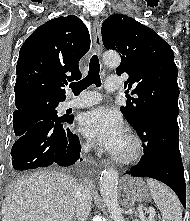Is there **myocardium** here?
Listing matches in <instances>:
<instances>
[{
	"label": "myocardium",
	"mask_w": 190,
	"mask_h": 221,
	"mask_svg": "<svg viewBox=\"0 0 190 221\" xmlns=\"http://www.w3.org/2000/svg\"><path fill=\"white\" fill-rule=\"evenodd\" d=\"M125 134L132 142V151L127 155H121L114 151H110L109 154L111 158L116 162L122 164H131L133 162H136L141 157L143 152V144L140 137L132 130H127Z\"/></svg>",
	"instance_id": "f54148a6"
}]
</instances>
